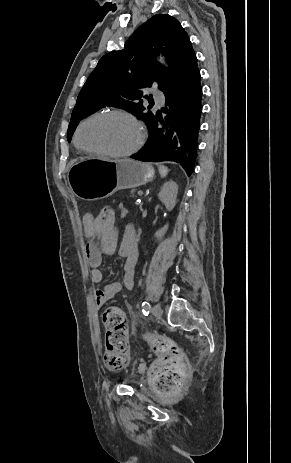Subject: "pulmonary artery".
Masks as SVG:
<instances>
[{
	"instance_id": "pulmonary-artery-1",
	"label": "pulmonary artery",
	"mask_w": 291,
	"mask_h": 463,
	"mask_svg": "<svg viewBox=\"0 0 291 463\" xmlns=\"http://www.w3.org/2000/svg\"><path fill=\"white\" fill-rule=\"evenodd\" d=\"M153 97L155 99V101L159 104H163L164 103V97H163V94L159 91H155L153 92Z\"/></svg>"
}]
</instances>
